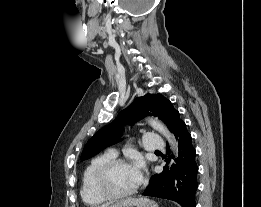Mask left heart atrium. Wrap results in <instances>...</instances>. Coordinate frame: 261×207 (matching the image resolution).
<instances>
[{"label": "left heart atrium", "mask_w": 261, "mask_h": 207, "mask_svg": "<svg viewBox=\"0 0 261 207\" xmlns=\"http://www.w3.org/2000/svg\"><path fill=\"white\" fill-rule=\"evenodd\" d=\"M132 168H133V170L135 172V176H136L137 182H139L140 179H141V176H142V170L144 168V164H143L142 160L137 159L133 163Z\"/></svg>", "instance_id": "1"}]
</instances>
